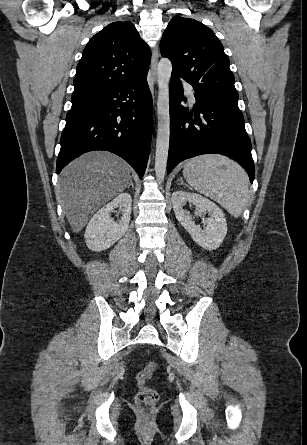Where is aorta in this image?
<instances>
[{
	"label": "aorta",
	"mask_w": 307,
	"mask_h": 445,
	"mask_svg": "<svg viewBox=\"0 0 307 445\" xmlns=\"http://www.w3.org/2000/svg\"><path fill=\"white\" fill-rule=\"evenodd\" d=\"M172 72V62L169 58H161L157 66L158 82V130L155 152V174L158 182H163L169 150L170 110H169V80Z\"/></svg>",
	"instance_id": "762f6f07"
}]
</instances>
